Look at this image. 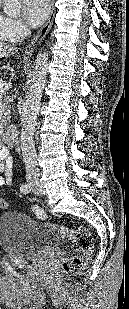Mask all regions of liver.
I'll return each mask as SVG.
<instances>
[{
  "instance_id": "6515ba94",
  "label": "liver",
  "mask_w": 129,
  "mask_h": 309,
  "mask_svg": "<svg viewBox=\"0 0 129 309\" xmlns=\"http://www.w3.org/2000/svg\"><path fill=\"white\" fill-rule=\"evenodd\" d=\"M18 52V48L14 45L0 42V58H7Z\"/></svg>"
}]
</instances>
